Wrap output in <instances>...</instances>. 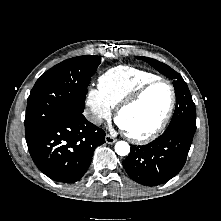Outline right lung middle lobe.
<instances>
[{
    "label": "right lung middle lobe",
    "instance_id": "right-lung-middle-lobe-1",
    "mask_svg": "<svg viewBox=\"0 0 221 221\" xmlns=\"http://www.w3.org/2000/svg\"><path fill=\"white\" fill-rule=\"evenodd\" d=\"M100 63V56L74 57L36 81L27 100L26 138L57 118L83 113L87 86Z\"/></svg>",
    "mask_w": 221,
    "mask_h": 221
}]
</instances>
